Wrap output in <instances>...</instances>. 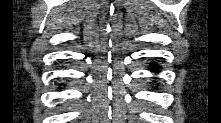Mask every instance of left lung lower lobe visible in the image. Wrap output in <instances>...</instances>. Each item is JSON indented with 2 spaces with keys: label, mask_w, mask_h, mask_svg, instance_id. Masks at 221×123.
<instances>
[{
  "label": "left lung lower lobe",
  "mask_w": 221,
  "mask_h": 123,
  "mask_svg": "<svg viewBox=\"0 0 221 123\" xmlns=\"http://www.w3.org/2000/svg\"><path fill=\"white\" fill-rule=\"evenodd\" d=\"M150 68H152L154 71H158V65L157 64H151Z\"/></svg>",
  "instance_id": "left-lung-lower-lobe-1"
}]
</instances>
